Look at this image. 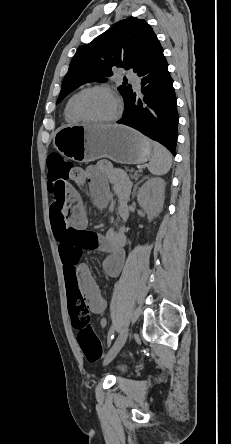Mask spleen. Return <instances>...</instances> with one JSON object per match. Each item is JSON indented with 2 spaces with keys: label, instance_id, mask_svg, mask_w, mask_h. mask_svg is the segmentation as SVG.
Here are the masks:
<instances>
[{
  "label": "spleen",
  "instance_id": "3e777b00",
  "mask_svg": "<svg viewBox=\"0 0 231 444\" xmlns=\"http://www.w3.org/2000/svg\"><path fill=\"white\" fill-rule=\"evenodd\" d=\"M153 155L148 164V169L153 175H164L172 166V156L170 152L158 142H151Z\"/></svg>",
  "mask_w": 231,
  "mask_h": 444
}]
</instances>
